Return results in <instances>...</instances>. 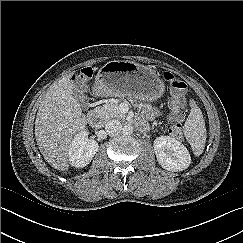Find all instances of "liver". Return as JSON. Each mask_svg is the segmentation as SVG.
<instances>
[{"instance_id": "obj_1", "label": "liver", "mask_w": 243, "mask_h": 243, "mask_svg": "<svg viewBox=\"0 0 243 243\" xmlns=\"http://www.w3.org/2000/svg\"><path fill=\"white\" fill-rule=\"evenodd\" d=\"M69 74L47 90L36 115L35 136L44 159L55 169L68 170L73 136L85 130L86 116L72 95Z\"/></svg>"}]
</instances>
